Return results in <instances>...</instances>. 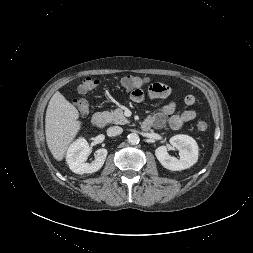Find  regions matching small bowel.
<instances>
[{
  "label": "small bowel",
  "mask_w": 253,
  "mask_h": 253,
  "mask_svg": "<svg viewBox=\"0 0 253 253\" xmlns=\"http://www.w3.org/2000/svg\"><path fill=\"white\" fill-rule=\"evenodd\" d=\"M172 89L163 83H152L147 92L142 89H133L131 92V99L134 102L140 103L149 99L166 98L170 96ZM196 99L193 95H186L184 97V104L186 109L179 114H175L176 104L172 101L164 104L159 112L149 116L145 121L149 122L150 126L155 128H162L168 122L170 127L174 130L180 129L184 123L193 120L196 117V110L194 109Z\"/></svg>",
  "instance_id": "1"
}]
</instances>
